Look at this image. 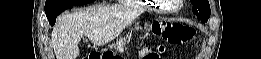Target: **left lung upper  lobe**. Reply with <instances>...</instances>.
Returning a JSON list of instances; mask_svg holds the SVG:
<instances>
[{"label": "left lung upper lobe", "instance_id": "1", "mask_svg": "<svg viewBox=\"0 0 261 59\" xmlns=\"http://www.w3.org/2000/svg\"><path fill=\"white\" fill-rule=\"evenodd\" d=\"M193 5V13L202 22H207L210 16V5L208 0H191Z\"/></svg>", "mask_w": 261, "mask_h": 59}]
</instances>
